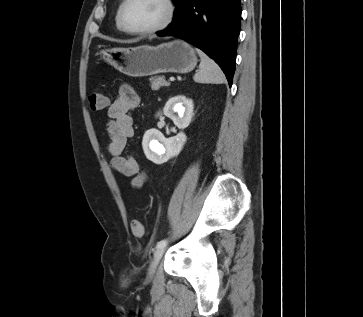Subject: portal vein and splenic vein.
I'll return each instance as SVG.
<instances>
[{"label": "portal vein and splenic vein", "instance_id": "portal-vein-and-splenic-vein-1", "mask_svg": "<svg viewBox=\"0 0 363 317\" xmlns=\"http://www.w3.org/2000/svg\"><path fill=\"white\" fill-rule=\"evenodd\" d=\"M169 80H170V81H174V80H175V78H174V77H170V78H169Z\"/></svg>", "mask_w": 363, "mask_h": 317}]
</instances>
